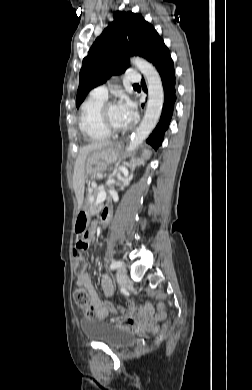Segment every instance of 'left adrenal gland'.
Wrapping results in <instances>:
<instances>
[{"label": "left adrenal gland", "mask_w": 252, "mask_h": 390, "mask_svg": "<svg viewBox=\"0 0 252 390\" xmlns=\"http://www.w3.org/2000/svg\"><path fill=\"white\" fill-rule=\"evenodd\" d=\"M141 164V162H140V160L139 159H137L136 161H135V163L133 164V167L131 168V174H130V176L129 177H127V178H122V177H118V180H117V182H116V184H119L120 182H122L123 183V186H125V185H127L128 184V182L132 179V177H133V170H134V168L136 167V166H139ZM113 183H111V185H112Z\"/></svg>", "instance_id": "obj_1"}]
</instances>
